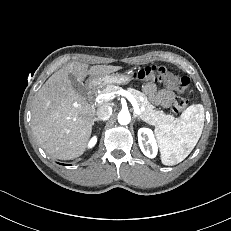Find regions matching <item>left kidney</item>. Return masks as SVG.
Listing matches in <instances>:
<instances>
[{"label": "left kidney", "instance_id": "1", "mask_svg": "<svg viewBox=\"0 0 231 231\" xmlns=\"http://www.w3.org/2000/svg\"><path fill=\"white\" fill-rule=\"evenodd\" d=\"M138 143L143 154L149 158H155L158 153V145L154 133L149 128L138 130Z\"/></svg>", "mask_w": 231, "mask_h": 231}]
</instances>
